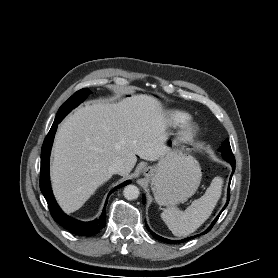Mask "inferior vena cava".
<instances>
[{
    "label": "inferior vena cava",
    "instance_id": "obj_1",
    "mask_svg": "<svg viewBox=\"0 0 278 278\" xmlns=\"http://www.w3.org/2000/svg\"><path fill=\"white\" fill-rule=\"evenodd\" d=\"M125 168L124 162L122 161V159H115L109 166V171L112 174H119L123 171V169Z\"/></svg>",
    "mask_w": 278,
    "mask_h": 278
}]
</instances>
